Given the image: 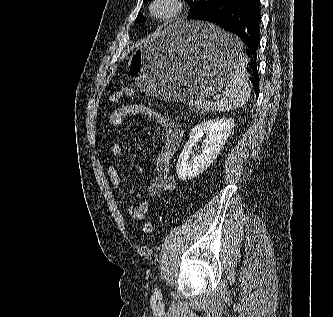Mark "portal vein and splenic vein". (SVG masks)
<instances>
[{"mask_svg": "<svg viewBox=\"0 0 333 317\" xmlns=\"http://www.w3.org/2000/svg\"><path fill=\"white\" fill-rule=\"evenodd\" d=\"M199 103L200 102H198V101H190L189 106L198 105ZM207 104H212V103L209 101V102H207Z\"/></svg>", "mask_w": 333, "mask_h": 317, "instance_id": "18ae733b", "label": "portal vein and splenic vein"}]
</instances>
